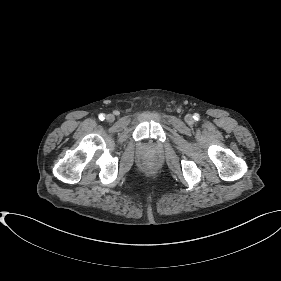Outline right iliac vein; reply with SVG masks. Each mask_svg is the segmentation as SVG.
<instances>
[{
  "label": "right iliac vein",
  "mask_w": 281,
  "mask_h": 281,
  "mask_svg": "<svg viewBox=\"0 0 281 281\" xmlns=\"http://www.w3.org/2000/svg\"><path fill=\"white\" fill-rule=\"evenodd\" d=\"M114 119H115V117H114V115H112V114H108V115L106 116V120H107L108 122H113Z\"/></svg>",
  "instance_id": "1"
}]
</instances>
